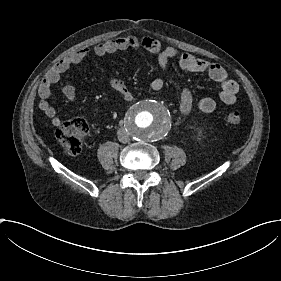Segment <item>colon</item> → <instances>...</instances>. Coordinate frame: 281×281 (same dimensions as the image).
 <instances>
[{
  "mask_svg": "<svg viewBox=\"0 0 281 281\" xmlns=\"http://www.w3.org/2000/svg\"><path fill=\"white\" fill-rule=\"evenodd\" d=\"M226 121L232 126H239L243 121V114L240 110H230L226 114ZM89 130L84 119H75L64 124L58 131V139L66 150L71 154H78L82 149V140Z\"/></svg>",
  "mask_w": 281,
  "mask_h": 281,
  "instance_id": "1",
  "label": "colon"
}]
</instances>
